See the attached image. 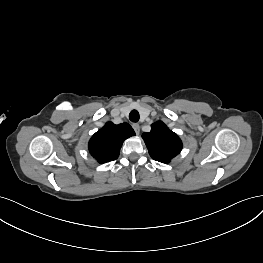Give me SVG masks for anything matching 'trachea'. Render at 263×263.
<instances>
[{"mask_svg":"<svg viewBox=\"0 0 263 263\" xmlns=\"http://www.w3.org/2000/svg\"><path fill=\"white\" fill-rule=\"evenodd\" d=\"M129 119L136 123L139 121V112L137 110H132L129 114Z\"/></svg>","mask_w":263,"mask_h":263,"instance_id":"3493384b","label":"trachea"}]
</instances>
